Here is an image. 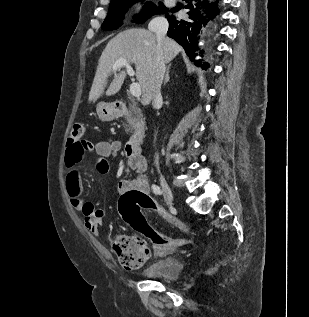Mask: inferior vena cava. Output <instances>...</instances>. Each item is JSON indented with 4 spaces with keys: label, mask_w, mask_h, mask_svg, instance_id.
I'll use <instances>...</instances> for the list:
<instances>
[{
    "label": "inferior vena cava",
    "mask_w": 309,
    "mask_h": 317,
    "mask_svg": "<svg viewBox=\"0 0 309 317\" xmlns=\"http://www.w3.org/2000/svg\"><path fill=\"white\" fill-rule=\"evenodd\" d=\"M168 21L163 17H156L149 23V30L154 32L158 43H162L165 40L166 33L168 31ZM166 72V62L163 57L162 51L158 52L157 68L155 71V83H154V95H153V107L155 108L162 102L161 85ZM155 164L159 168V156L155 155Z\"/></svg>",
    "instance_id": "602c4592"
}]
</instances>
